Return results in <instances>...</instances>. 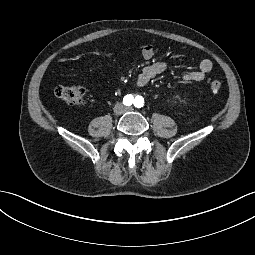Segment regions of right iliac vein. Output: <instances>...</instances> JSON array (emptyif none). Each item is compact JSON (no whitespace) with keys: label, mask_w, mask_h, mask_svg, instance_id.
<instances>
[{"label":"right iliac vein","mask_w":255,"mask_h":255,"mask_svg":"<svg viewBox=\"0 0 255 255\" xmlns=\"http://www.w3.org/2000/svg\"><path fill=\"white\" fill-rule=\"evenodd\" d=\"M123 111H124V109H123V106H122V105H117V106L115 107V113H116V114L120 115V114L123 113Z\"/></svg>","instance_id":"1"}]
</instances>
